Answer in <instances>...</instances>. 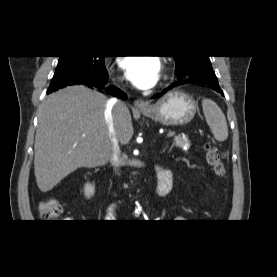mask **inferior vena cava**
Masks as SVG:
<instances>
[{"label": "inferior vena cava", "instance_id": "inferior-vena-cava-1", "mask_svg": "<svg viewBox=\"0 0 277 277\" xmlns=\"http://www.w3.org/2000/svg\"><path fill=\"white\" fill-rule=\"evenodd\" d=\"M125 106L126 105L123 102L117 100L116 98H111L107 101L104 113L105 122L112 142V154L110 156V163L114 167L115 171H117L121 165V151L114 130L112 113L114 107L120 110L123 109Z\"/></svg>", "mask_w": 277, "mask_h": 277}]
</instances>
